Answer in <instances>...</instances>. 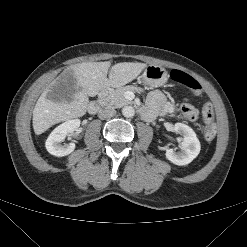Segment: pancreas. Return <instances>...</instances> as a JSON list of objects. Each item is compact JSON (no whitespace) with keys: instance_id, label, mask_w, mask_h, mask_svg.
<instances>
[{"instance_id":"pancreas-1","label":"pancreas","mask_w":247,"mask_h":247,"mask_svg":"<svg viewBox=\"0 0 247 247\" xmlns=\"http://www.w3.org/2000/svg\"><path fill=\"white\" fill-rule=\"evenodd\" d=\"M127 91L140 92L141 88L132 85L118 88L116 90H113L108 97L103 99L102 103L110 108H120L124 105L131 104L132 101L125 98V93Z\"/></svg>"}]
</instances>
